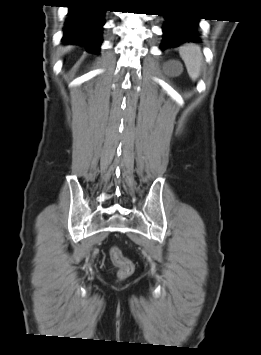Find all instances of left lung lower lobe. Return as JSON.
<instances>
[{
	"mask_svg": "<svg viewBox=\"0 0 261 355\" xmlns=\"http://www.w3.org/2000/svg\"><path fill=\"white\" fill-rule=\"evenodd\" d=\"M161 48L178 47L184 43L199 42L198 18L165 15Z\"/></svg>",
	"mask_w": 261,
	"mask_h": 355,
	"instance_id": "1",
	"label": "left lung lower lobe"
}]
</instances>
